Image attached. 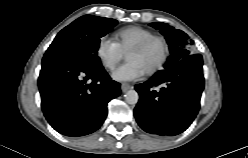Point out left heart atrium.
Masks as SVG:
<instances>
[{"label": "left heart atrium", "mask_w": 248, "mask_h": 158, "mask_svg": "<svg viewBox=\"0 0 248 158\" xmlns=\"http://www.w3.org/2000/svg\"><path fill=\"white\" fill-rule=\"evenodd\" d=\"M145 73L146 71L139 63L135 61H128L126 64L117 68L113 72L112 77L116 81H136L142 78Z\"/></svg>", "instance_id": "left-heart-atrium-1"}]
</instances>
